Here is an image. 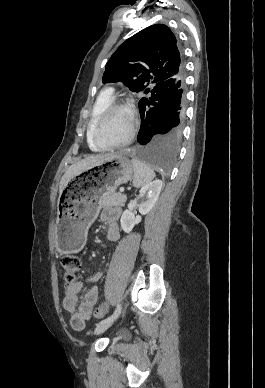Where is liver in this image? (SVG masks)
<instances>
[{
  "label": "liver",
  "instance_id": "6515ba94",
  "mask_svg": "<svg viewBox=\"0 0 265 388\" xmlns=\"http://www.w3.org/2000/svg\"><path fill=\"white\" fill-rule=\"evenodd\" d=\"M106 156H113V154H104V156H91V158H85V160H80V162H77V164H72L70 168H68L67 172H65L64 176L61 178L60 182V194L67 182L71 180V178H74V176H78V174H82V172H85V170H88V168H92V166H95V164H98L102 158H106Z\"/></svg>",
  "mask_w": 265,
  "mask_h": 388
}]
</instances>
